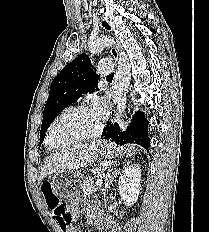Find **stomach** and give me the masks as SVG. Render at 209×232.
I'll list each match as a JSON object with an SVG mask.
<instances>
[{
	"instance_id": "obj_1",
	"label": "stomach",
	"mask_w": 209,
	"mask_h": 232,
	"mask_svg": "<svg viewBox=\"0 0 209 232\" xmlns=\"http://www.w3.org/2000/svg\"><path fill=\"white\" fill-rule=\"evenodd\" d=\"M124 152L131 154L130 146H114L112 143H106L102 146L101 153L105 157H113L115 153ZM84 179L79 177V171H56V175L51 181L52 190L60 196V199H75L76 192L80 191V183Z\"/></svg>"
}]
</instances>
